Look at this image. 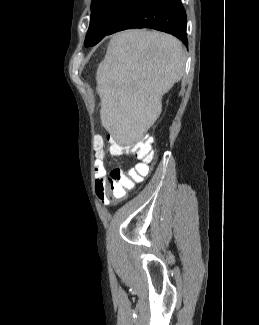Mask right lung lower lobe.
Returning <instances> with one entry per match:
<instances>
[{
	"label": "right lung lower lobe",
	"instance_id": "1",
	"mask_svg": "<svg viewBox=\"0 0 259 325\" xmlns=\"http://www.w3.org/2000/svg\"><path fill=\"white\" fill-rule=\"evenodd\" d=\"M129 28H153L170 33L187 46L186 13L180 0H131L107 35Z\"/></svg>",
	"mask_w": 259,
	"mask_h": 325
}]
</instances>
